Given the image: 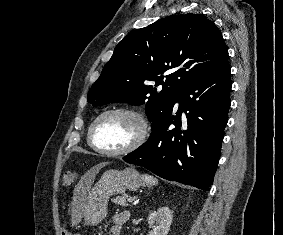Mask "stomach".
I'll return each mask as SVG.
<instances>
[{
    "label": "stomach",
    "instance_id": "0dacf381",
    "mask_svg": "<svg viewBox=\"0 0 283 235\" xmlns=\"http://www.w3.org/2000/svg\"><path fill=\"white\" fill-rule=\"evenodd\" d=\"M144 185L142 176L133 167L105 171L99 181L82 197L81 210L85 223L95 226L105 218L111 196L123 194L126 190L136 191Z\"/></svg>",
    "mask_w": 283,
    "mask_h": 235
}]
</instances>
